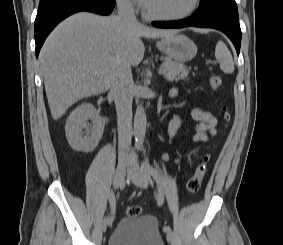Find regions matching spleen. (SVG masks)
I'll return each mask as SVG.
<instances>
[{
  "label": "spleen",
  "mask_w": 283,
  "mask_h": 245,
  "mask_svg": "<svg viewBox=\"0 0 283 245\" xmlns=\"http://www.w3.org/2000/svg\"><path fill=\"white\" fill-rule=\"evenodd\" d=\"M215 57L220 61V68L224 73L231 74L234 71V62L227 46L219 41L215 48Z\"/></svg>",
  "instance_id": "1"
}]
</instances>
